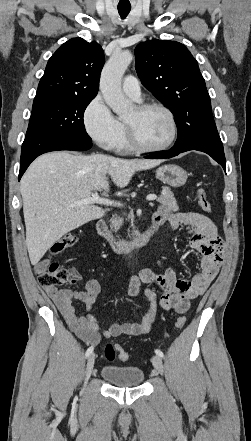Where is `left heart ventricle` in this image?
<instances>
[{"label":"left heart ventricle","instance_id":"b2bd125f","mask_svg":"<svg viewBox=\"0 0 251 441\" xmlns=\"http://www.w3.org/2000/svg\"><path fill=\"white\" fill-rule=\"evenodd\" d=\"M124 120L134 127L139 139L147 146L163 145L171 136L170 120L159 109L138 112L134 107Z\"/></svg>","mask_w":251,"mask_h":441}]
</instances>
